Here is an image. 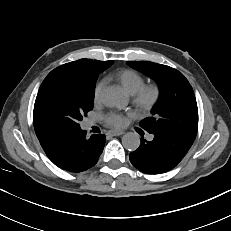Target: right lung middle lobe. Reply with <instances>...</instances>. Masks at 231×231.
I'll return each instance as SVG.
<instances>
[{
	"mask_svg": "<svg viewBox=\"0 0 231 231\" xmlns=\"http://www.w3.org/2000/svg\"><path fill=\"white\" fill-rule=\"evenodd\" d=\"M112 64L113 61L109 66ZM96 79L87 87L68 82H48L39 89L33 118L55 132L80 129L79 122L93 107Z\"/></svg>",
	"mask_w": 231,
	"mask_h": 231,
	"instance_id": "obj_1",
	"label": "right lung middle lobe"
}]
</instances>
